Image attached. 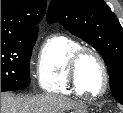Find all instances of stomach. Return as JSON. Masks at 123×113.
Returning <instances> with one entry per match:
<instances>
[{
	"label": "stomach",
	"instance_id": "0dacf381",
	"mask_svg": "<svg viewBox=\"0 0 123 113\" xmlns=\"http://www.w3.org/2000/svg\"><path fill=\"white\" fill-rule=\"evenodd\" d=\"M75 113H83V112H75Z\"/></svg>",
	"mask_w": 123,
	"mask_h": 113
}]
</instances>
